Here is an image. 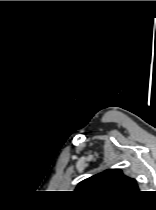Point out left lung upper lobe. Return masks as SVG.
<instances>
[{
  "mask_svg": "<svg viewBox=\"0 0 156 210\" xmlns=\"http://www.w3.org/2000/svg\"><path fill=\"white\" fill-rule=\"evenodd\" d=\"M77 190L94 193L130 195L139 191L135 179L123 174L120 169H109L80 182Z\"/></svg>",
  "mask_w": 156,
  "mask_h": 210,
  "instance_id": "left-lung-upper-lobe-1",
  "label": "left lung upper lobe"
}]
</instances>
